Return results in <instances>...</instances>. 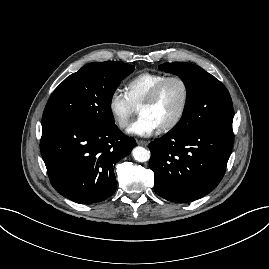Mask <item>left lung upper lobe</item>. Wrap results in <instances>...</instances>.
<instances>
[{
  "mask_svg": "<svg viewBox=\"0 0 269 269\" xmlns=\"http://www.w3.org/2000/svg\"><path fill=\"white\" fill-rule=\"evenodd\" d=\"M159 69L178 75L187 91V104L181 120L170 131L187 133L209 124L233 121V105L225 86L201 67L173 62L159 65Z\"/></svg>",
  "mask_w": 269,
  "mask_h": 269,
  "instance_id": "1",
  "label": "left lung upper lobe"
}]
</instances>
